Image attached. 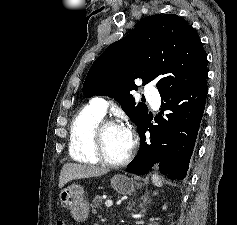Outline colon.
<instances>
[{"label": "colon", "mask_w": 237, "mask_h": 225, "mask_svg": "<svg viewBox=\"0 0 237 225\" xmlns=\"http://www.w3.org/2000/svg\"><path fill=\"white\" fill-rule=\"evenodd\" d=\"M56 225H67V221L65 219H59Z\"/></svg>", "instance_id": "obj_1"}]
</instances>
